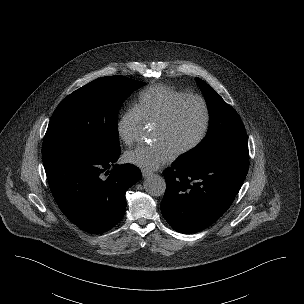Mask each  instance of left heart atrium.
I'll list each match as a JSON object with an SVG mask.
<instances>
[{
    "label": "left heart atrium",
    "instance_id": "1",
    "mask_svg": "<svg viewBox=\"0 0 304 304\" xmlns=\"http://www.w3.org/2000/svg\"><path fill=\"white\" fill-rule=\"evenodd\" d=\"M175 156L166 144L157 143L152 146L141 145L125 153L127 163L143 170H155L169 162Z\"/></svg>",
    "mask_w": 304,
    "mask_h": 304
}]
</instances>
